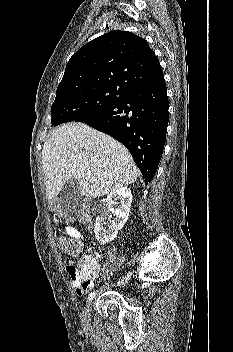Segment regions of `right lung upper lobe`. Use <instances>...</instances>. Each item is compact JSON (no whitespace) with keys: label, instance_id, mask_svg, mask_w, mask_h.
<instances>
[{"label":"right lung upper lobe","instance_id":"1","mask_svg":"<svg viewBox=\"0 0 233 352\" xmlns=\"http://www.w3.org/2000/svg\"><path fill=\"white\" fill-rule=\"evenodd\" d=\"M162 76L160 63L143 38L115 30L85 44L70 58L56 95L101 85L132 90Z\"/></svg>","mask_w":233,"mask_h":352}]
</instances>
